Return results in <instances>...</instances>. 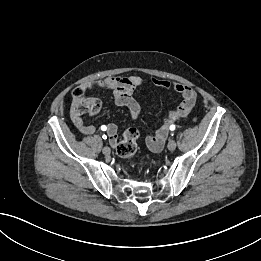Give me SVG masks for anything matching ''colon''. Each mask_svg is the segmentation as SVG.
Wrapping results in <instances>:
<instances>
[{
    "instance_id": "obj_1",
    "label": "colon",
    "mask_w": 261,
    "mask_h": 261,
    "mask_svg": "<svg viewBox=\"0 0 261 261\" xmlns=\"http://www.w3.org/2000/svg\"><path fill=\"white\" fill-rule=\"evenodd\" d=\"M74 97H81L82 91L81 88H75L72 92ZM100 102L96 99L91 100H80L74 107V109L79 114L89 113L91 115L97 114L100 110ZM180 116L174 112H170L168 115L169 121L177 120ZM195 121V119H191ZM139 137V133L135 128L127 129L121 138V140L116 145V152L117 154L122 157L129 159L133 157L137 150V140Z\"/></svg>"
}]
</instances>
